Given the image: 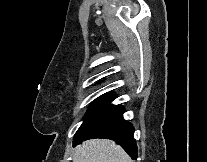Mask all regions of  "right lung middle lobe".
<instances>
[{
	"mask_svg": "<svg viewBox=\"0 0 207 162\" xmlns=\"http://www.w3.org/2000/svg\"><path fill=\"white\" fill-rule=\"evenodd\" d=\"M110 96V94H104L102 96H100L99 98H97L92 105L90 106L88 112L86 113L85 117H84V121L100 106V104L105 101L108 97Z\"/></svg>",
	"mask_w": 207,
	"mask_h": 162,
	"instance_id": "obj_1",
	"label": "right lung middle lobe"
}]
</instances>
